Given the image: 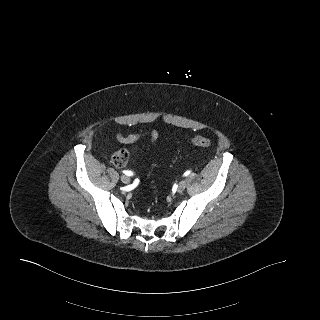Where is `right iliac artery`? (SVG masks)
Returning <instances> with one entry per match:
<instances>
[{
	"instance_id": "82829eb1",
	"label": "right iliac artery",
	"mask_w": 320,
	"mask_h": 320,
	"mask_svg": "<svg viewBox=\"0 0 320 320\" xmlns=\"http://www.w3.org/2000/svg\"><path fill=\"white\" fill-rule=\"evenodd\" d=\"M125 175L127 176H131L132 175V172L131 171H128V170H124L122 171Z\"/></svg>"
}]
</instances>
